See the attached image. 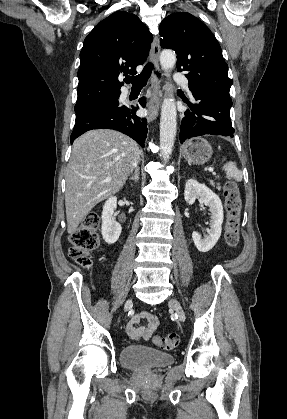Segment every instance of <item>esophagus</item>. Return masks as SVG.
I'll return each instance as SVG.
<instances>
[{"label":"esophagus","instance_id":"34e87169","mask_svg":"<svg viewBox=\"0 0 287 419\" xmlns=\"http://www.w3.org/2000/svg\"><path fill=\"white\" fill-rule=\"evenodd\" d=\"M159 54H160V43L159 38L156 36L152 42L150 58L156 69H159ZM150 99L148 103V122L155 120L159 114L160 103L163 95L161 80L152 74L150 79Z\"/></svg>","mask_w":287,"mask_h":419}]
</instances>
